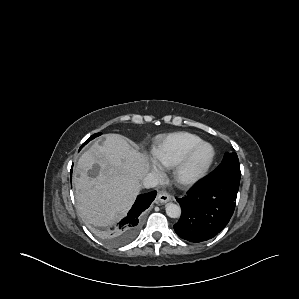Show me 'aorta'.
Listing matches in <instances>:
<instances>
[{
	"mask_svg": "<svg viewBox=\"0 0 299 299\" xmlns=\"http://www.w3.org/2000/svg\"><path fill=\"white\" fill-rule=\"evenodd\" d=\"M166 214L170 218H178L181 215V208L177 204L169 203L166 205Z\"/></svg>",
	"mask_w": 299,
	"mask_h": 299,
	"instance_id": "1",
	"label": "aorta"
}]
</instances>
